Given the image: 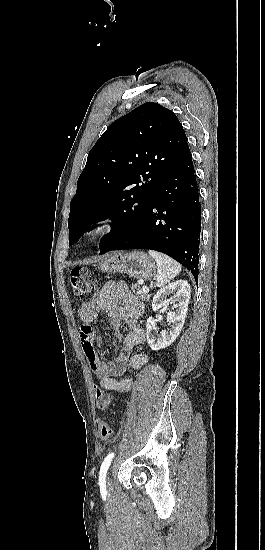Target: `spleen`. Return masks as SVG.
<instances>
[{"label": "spleen", "mask_w": 265, "mask_h": 550, "mask_svg": "<svg viewBox=\"0 0 265 550\" xmlns=\"http://www.w3.org/2000/svg\"><path fill=\"white\" fill-rule=\"evenodd\" d=\"M148 253L157 262V287H162L165 284L169 283L174 277H176L180 273L182 269L181 265L169 256L153 250H149Z\"/></svg>", "instance_id": "3e777b00"}]
</instances>
